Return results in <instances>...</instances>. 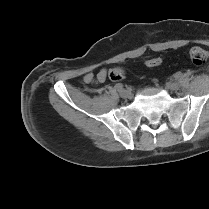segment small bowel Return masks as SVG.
<instances>
[{"mask_svg": "<svg viewBox=\"0 0 209 209\" xmlns=\"http://www.w3.org/2000/svg\"><path fill=\"white\" fill-rule=\"evenodd\" d=\"M107 78V70L106 69H101L96 77L92 74V73H88L84 76V81L87 82V83H92V82H95V81H98V82H103L105 81Z\"/></svg>", "mask_w": 209, "mask_h": 209, "instance_id": "1", "label": "small bowel"}]
</instances>
